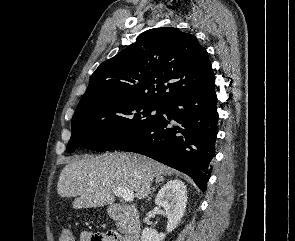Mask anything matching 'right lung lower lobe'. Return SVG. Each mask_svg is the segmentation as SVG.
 I'll return each instance as SVG.
<instances>
[{"instance_id":"1","label":"right lung lower lobe","mask_w":295,"mask_h":241,"mask_svg":"<svg viewBox=\"0 0 295 241\" xmlns=\"http://www.w3.org/2000/svg\"><path fill=\"white\" fill-rule=\"evenodd\" d=\"M215 82L167 101L159 116L117 149L137 152L189 175L206 191L217 136Z\"/></svg>"}]
</instances>
